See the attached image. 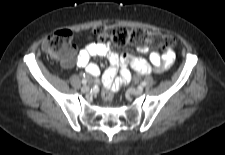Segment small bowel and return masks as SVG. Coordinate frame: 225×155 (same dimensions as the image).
Instances as JSON below:
<instances>
[{"instance_id":"small-bowel-1","label":"small bowel","mask_w":225,"mask_h":155,"mask_svg":"<svg viewBox=\"0 0 225 155\" xmlns=\"http://www.w3.org/2000/svg\"><path fill=\"white\" fill-rule=\"evenodd\" d=\"M71 43L75 47L83 46L77 55L76 64L84 68L93 77L100 75V68L96 63L90 61L91 57L101 56L108 59L110 66L104 70L102 85L103 88L110 87L112 93L121 84L129 81L131 75L128 66H131L141 74L160 73L168 69L174 61V53L171 50H167L163 54L152 51L149 54V61L143 57L132 56L130 54L119 55L111 49L109 44L97 42V37L93 33L83 34L82 32H75L71 36ZM138 51L147 53L149 49L147 46H138ZM64 65L69 67L72 65V62H64ZM117 74L120 75V79L115 82L114 78Z\"/></svg>"}]
</instances>
